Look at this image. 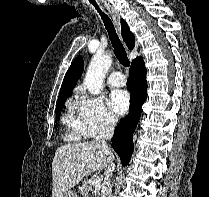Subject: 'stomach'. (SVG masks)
Here are the masks:
<instances>
[{
	"label": "stomach",
	"instance_id": "stomach-1",
	"mask_svg": "<svg viewBox=\"0 0 209 197\" xmlns=\"http://www.w3.org/2000/svg\"><path fill=\"white\" fill-rule=\"evenodd\" d=\"M62 197H78V195L74 191H68V192L64 193L62 195Z\"/></svg>",
	"mask_w": 209,
	"mask_h": 197
}]
</instances>
